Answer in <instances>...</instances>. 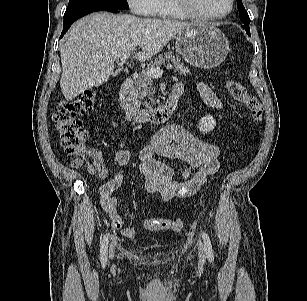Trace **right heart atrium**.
I'll list each match as a JSON object with an SVG mask.
<instances>
[{
  "instance_id": "right-heart-atrium-1",
  "label": "right heart atrium",
  "mask_w": 307,
  "mask_h": 301,
  "mask_svg": "<svg viewBox=\"0 0 307 301\" xmlns=\"http://www.w3.org/2000/svg\"><path fill=\"white\" fill-rule=\"evenodd\" d=\"M131 10L142 16H155L158 11V0H126Z\"/></svg>"
}]
</instances>
